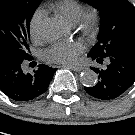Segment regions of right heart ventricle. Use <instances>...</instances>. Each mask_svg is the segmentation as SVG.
<instances>
[{"mask_svg":"<svg viewBox=\"0 0 135 135\" xmlns=\"http://www.w3.org/2000/svg\"><path fill=\"white\" fill-rule=\"evenodd\" d=\"M51 8L70 24H75L83 12L82 4L77 0H61L52 4Z\"/></svg>","mask_w":135,"mask_h":135,"instance_id":"1","label":"right heart ventricle"}]
</instances>
